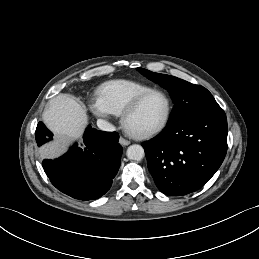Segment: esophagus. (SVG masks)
I'll return each instance as SVG.
<instances>
[{
	"mask_svg": "<svg viewBox=\"0 0 259 259\" xmlns=\"http://www.w3.org/2000/svg\"><path fill=\"white\" fill-rule=\"evenodd\" d=\"M119 142H120V144L123 145V146H127V145L130 144V141L126 140V139L123 138V137H120Z\"/></svg>",
	"mask_w": 259,
	"mask_h": 259,
	"instance_id": "obj_1",
	"label": "esophagus"
}]
</instances>
